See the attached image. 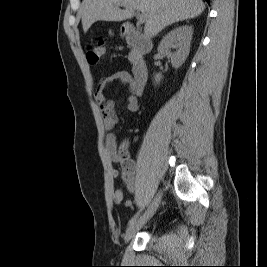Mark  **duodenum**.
Returning a JSON list of instances; mask_svg holds the SVG:
<instances>
[{"mask_svg":"<svg viewBox=\"0 0 267 267\" xmlns=\"http://www.w3.org/2000/svg\"><path fill=\"white\" fill-rule=\"evenodd\" d=\"M124 38L128 45L135 48L138 55L142 56L152 50L153 44L150 39L142 35L133 25L127 24L124 29ZM134 78V92L140 95L148 79V68L142 58H138L132 67Z\"/></svg>","mask_w":267,"mask_h":267,"instance_id":"duodenum-1","label":"duodenum"}]
</instances>
